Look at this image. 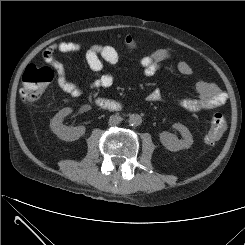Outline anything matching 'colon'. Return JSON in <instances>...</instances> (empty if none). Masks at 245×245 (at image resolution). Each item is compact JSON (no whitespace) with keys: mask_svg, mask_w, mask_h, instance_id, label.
<instances>
[{"mask_svg":"<svg viewBox=\"0 0 245 245\" xmlns=\"http://www.w3.org/2000/svg\"><path fill=\"white\" fill-rule=\"evenodd\" d=\"M123 43L127 48H133L135 42L131 37H124ZM53 79V70L50 67H38L29 65L22 76V88L20 95L24 101L34 102L43 93L45 87ZM226 117L220 112L213 114L211 118V126L208 130L205 139L209 144H214L223 135L226 128Z\"/></svg>","mask_w":245,"mask_h":245,"instance_id":"1","label":"colon"}]
</instances>
